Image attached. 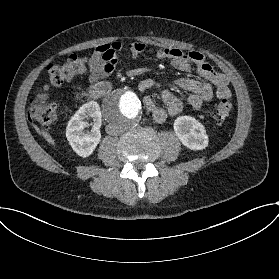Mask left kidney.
I'll list each match as a JSON object with an SVG mask.
<instances>
[{
	"label": "left kidney",
	"mask_w": 279,
	"mask_h": 279,
	"mask_svg": "<svg viewBox=\"0 0 279 279\" xmlns=\"http://www.w3.org/2000/svg\"><path fill=\"white\" fill-rule=\"evenodd\" d=\"M173 128L181 143L191 150H203L208 146V135L202 123L192 116H179Z\"/></svg>",
	"instance_id": "1"
}]
</instances>
